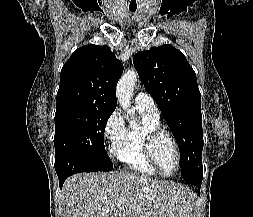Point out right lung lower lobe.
<instances>
[{"instance_id":"right-lung-lower-lobe-1","label":"right lung lower lobe","mask_w":253,"mask_h":217,"mask_svg":"<svg viewBox=\"0 0 253 217\" xmlns=\"http://www.w3.org/2000/svg\"><path fill=\"white\" fill-rule=\"evenodd\" d=\"M55 169L59 179L60 188L64 181L72 174L78 172H92L85 159L77 156H67L55 161Z\"/></svg>"}]
</instances>
